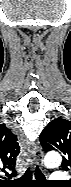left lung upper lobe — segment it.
Wrapping results in <instances>:
<instances>
[{
	"mask_svg": "<svg viewBox=\"0 0 71 187\" xmlns=\"http://www.w3.org/2000/svg\"><path fill=\"white\" fill-rule=\"evenodd\" d=\"M45 151H59L63 154L62 169H71V121L57 118L51 121L40 135Z\"/></svg>",
	"mask_w": 71,
	"mask_h": 187,
	"instance_id": "left-lung-upper-lobe-1",
	"label": "left lung upper lobe"
}]
</instances>
